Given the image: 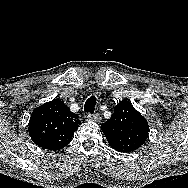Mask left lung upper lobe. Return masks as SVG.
<instances>
[{
    "label": "left lung upper lobe",
    "instance_id": "1",
    "mask_svg": "<svg viewBox=\"0 0 188 188\" xmlns=\"http://www.w3.org/2000/svg\"><path fill=\"white\" fill-rule=\"evenodd\" d=\"M109 145L118 152L130 153L148 138L149 126L129 101H120L111 118L101 125Z\"/></svg>",
    "mask_w": 188,
    "mask_h": 188
}]
</instances>
